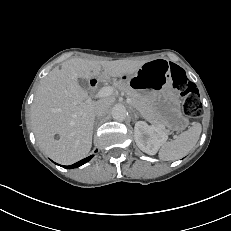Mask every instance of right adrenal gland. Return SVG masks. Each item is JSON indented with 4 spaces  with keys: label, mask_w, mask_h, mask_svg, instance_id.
<instances>
[{
    "label": "right adrenal gland",
    "mask_w": 231,
    "mask_h": 231,
    "mask_svg": "<svg viewBox=\"0 0 231 231\" xmlns=\"http://www.w3.org/2000/svg\"><path fill=\"white\" fill-rule=\"evenodd\" d=\"M98 119H99V118H98ZM96 124H97V121H95L94 126H96Z\"/></svg>",
    "instance_id": "obj_1"
}]
</instances>
